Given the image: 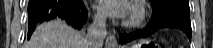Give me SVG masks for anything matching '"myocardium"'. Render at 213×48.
Masks as SVG:
<instances>
[{"instance_id":"myocardium-1","label":"myocardium","mask_w":213,"mask_h":48,"mask_svg":"<svg viewBox=\"0 0 213 48\" xmlns=\"http://www.w3.org/2000/svg\"><path fill=\"white\" fill-rule=\"evenodd\" d=\"M146 17V10L139 2H133L130 5V11L127 19L124 21V26L127 28H135L140 26Z\"/></svg>"}]
</instances>
